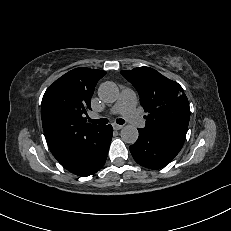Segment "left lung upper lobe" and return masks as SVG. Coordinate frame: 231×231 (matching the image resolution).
Masks as SVG:
<instances>
[{"label":"left lung upper lobe","instance_id":"left-lung-upper-lobe-1","mask_svg":"<svg viewBox=\"0 0 231 231\" xmlns=\"http://www.w3.org/2000/svg\"><path fill=\"white\" fill-rule=\"evenodd\" d=\"M121 74L140 95L141 105L148 113L145 128L185 139L190 108L183 88L149 67L121 71Z\"/></svg>","mask_w":231,"mask_h":231}]
</instances>
